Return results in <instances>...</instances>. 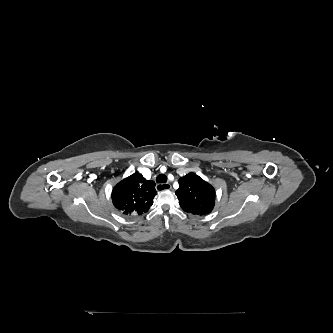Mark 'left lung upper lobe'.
<instances>
[{
  "instance_id": "5c2ea615",
  "label": "left lung upper lobe",
  "mask_w": 333,
  "mask_h": 333,
  "mask_svg": "<svg viewBox=\"0 0 333 333\" xmlns=\"http://www.w3.org/2000/svg\"><path fill=\"white\" fill-rule=\"evenodd\" d=\"M175 194L185 212L206 215L213 210L214 188L194 173H189L179 179V188Z\"/></svg>"
}]
</instances>
